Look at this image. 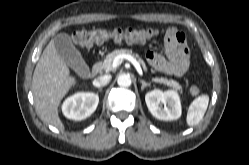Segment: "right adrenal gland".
Segmentation results:
<instances>
[{
  "label": "right adrenal gland",
  "instance_id": "right-adrenal-gland-1",
  "mask_svg": "<svg viewBox=\"0 0 249 165\" xmlns=\"http://www.w3.org/2000/svg\"><path fill=\"white\" fill-rule=\"evenodd\" d=\"M99 91L102 92V89L100 88Z\"/></svg>",
  "mask_w": 249,
  "mask_h": 165
}]
</instances>
